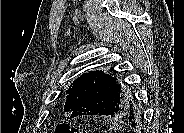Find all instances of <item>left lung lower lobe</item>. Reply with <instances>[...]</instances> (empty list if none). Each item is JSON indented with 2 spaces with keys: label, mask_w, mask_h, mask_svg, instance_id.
<instances>
[{
  "label": "left lung lower lobe",
  "mask_w": 184,
  "mask_h": 133,
  "mask_svg": "<svg viewBox=\"0 0 184 133\" xmlns=\"http://www.w3.org/2000/svg\"><path fill=\"white\" fill-rule=\"evenodd\" d=\"M137 98L130 88L116 77L96 71L95 82L88 95L75 107L71 117L82 115H103L121 119L136 128L138 120L132 111Z\"/></svg>",
  "instance_id": "1"
}]
</instances>
